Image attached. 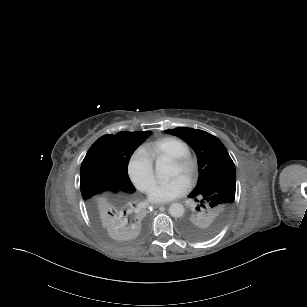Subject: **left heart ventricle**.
<instances>
[{
	"label": "left heart ventricle",
	"mask_w": 307,
	"mask_h": 307,
	"mask_svg": "<svg viewBox=\"0 0 307 307\" xmlns=\"http://www.w3.org/2000/svg\"><path fill=\"white\" fill-rule=\"evenodd\" d=\"M173 174L174 175H181L180 169L175 163H173Z\"/></svg>",
	"instance_id": "1"
}]
</instances>
